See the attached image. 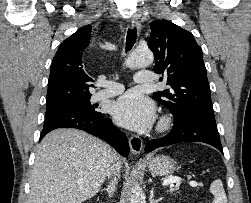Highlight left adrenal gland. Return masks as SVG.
<instances>
[{
    "mask_svg": "<svg viewBox=\"0 0 251 203\" xmlns=\"http://www.w3.org/2000/svg\"><path fill=\"white\" fill-rule=\"evenodd\" d=\"M149 200H150V203H158V202H160L162 200V197L159 198V199H154V191L152 189L151 192H150Z\"/></svg>",
    "mask_w": 251,
    "mask_h": 203,
    "instance_id": "1",
    "label": "left adrenal gland"
}]
</instances>
